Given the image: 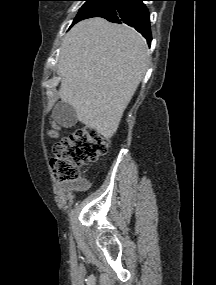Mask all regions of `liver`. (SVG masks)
<instances>
[{
  "instance_id": "liver-1",
  "label": "liver",
  "mask_w": 216,
  "mask_h": 285,
  "mask_svg": "<svg viewBox=\"0 0 216 285\" xmlns=\"http://www.w3.org/2000/svg\"><path fill=\"white\" fill-rule=\"evenodd\" d=\"M147 44L134 29L91 18L76 24L61 45L59 96L78 120L109 139L147 69Z\"/></svg>"
}]
</instances>
